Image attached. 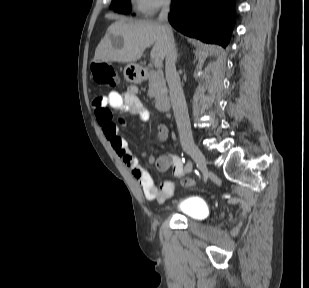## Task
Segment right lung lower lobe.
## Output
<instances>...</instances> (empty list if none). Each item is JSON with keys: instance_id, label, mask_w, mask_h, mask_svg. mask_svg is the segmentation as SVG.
Returning a JSON list of instances; mask_svg holds the SVG:
<instances>
[{"instance_id": "obj_1", "label": "right lung lower lobe", "mask_w": 309, "mask_h": 288, "mask_svg": "<svg viewBox=\"0 0 309 288\" xmlns=\"http://www.w3.org/2000/svg\"><path fill=\"white\" fill-rule=\"evenodd\" d=\"M234 0H172L169 22L190 37L225 47L230 39Z\"/></svg>"}]
</instances>
